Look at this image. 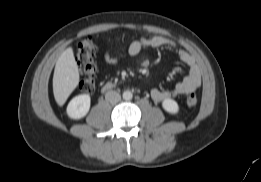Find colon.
Wrapping results in <instances>:
<instances>
[{
    "label": "colon",
    "mask_w": 261,
    "mask_h": 182,
    "mask_svg": "<svg viewBox=\"0 0 261 182\" xmlns=\"http://www.w3.org/2000/svg\"><path fill=\"white\" fill-rule=\"evenodd\" d=\"M95 53L96 45L91 37L85 38L77 46L75 60L84 74V78L80 81L79 86L86 93H92L96 87ZM197 101L196 95L191 93L186 99V104L192 107L197 104Z\"/></svg>",
    "instance_id": "colon-1"
}]
</instances>
